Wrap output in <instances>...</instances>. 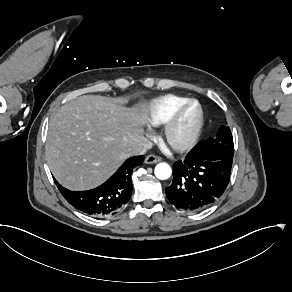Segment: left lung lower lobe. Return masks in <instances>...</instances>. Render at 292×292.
<instances>
[{"instance_id":"left-lung-lower-lobe-1","label":"left lung lower lobe","mask_w":292,"mask_h":292,"mask_svg":"<svg viewBox=\"0 0 292 292\" xmlns=\"http://www.w3.org/2000/svg\"><path fill=\"white\" fill-rule=\"evenodd\" d=\"M199 143L183 161L173 164L172 184L165 188L168 200L188 212L203 210L224 193L232 168L233 157L199 154Z\"/></svg>"}]
</instances>
